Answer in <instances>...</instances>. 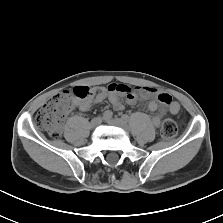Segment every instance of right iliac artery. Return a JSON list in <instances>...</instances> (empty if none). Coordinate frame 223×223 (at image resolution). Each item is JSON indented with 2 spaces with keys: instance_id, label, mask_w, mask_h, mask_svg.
<instances>
[{
  "instance_id": "right-iliac-artery-1",
  "label": "right iliac artery",
  "mask_w": 223,
  "mask_h": 223,
  "mask_svg": "<svg viewBox=\"0 0 223 223\" xmlns=\"http://www.w3.org/2000/svg\"><path fill=\"white\" fill-rule=\"evenodd\" d=\"M112 116H113V113L110 110L105 111L102 115L104 120H108V119L112 118Z\"/></svg>"
}]
</instances>
